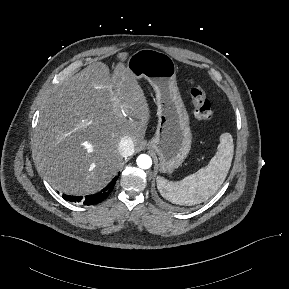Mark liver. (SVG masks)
<instances>
[{"instance_id":"obj_1","label":"liver","mask_w":289,"mask_h":289,"mask_svg":"<svg viewBox=\"0 0 289 289\" xmlns=\"http://www.w3.org/2000/svg\"><path fill=\"white\" fill-rule=\"evenodd\" d=\"M112 75L94 62L58 84L45 100L34 135L36 160L49 183L70 195L105 187L123 156L119 143L129 136L139 148L151 119L137 78L124 65Z\"/></svg>"}]
</instances>
